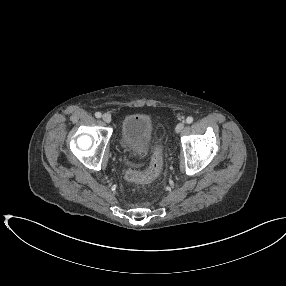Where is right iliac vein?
<instances>
[{
	"mask_svg": "<svg viewBox=\"0 0 286 286\" xmlns=\"http://www.w3.org/2000/svg\"><path fill=\"white\" fill-rule=\"evenodd\" d=\"M102 119L106 123H110L111 122V116L109 114H107V113L103 114Z\"/></svg>",
	"mask_w": 286,
	"mask_h": 286,
	"instance_id": "1",
	"label": "right iliac vein"
}]
</instances>
